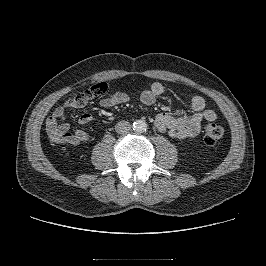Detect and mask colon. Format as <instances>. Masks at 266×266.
Returning <instances> with one entry per match:
<instances>
[{"label": "colon", "instance_id": "obj_1", "mask_svg": "<svg viewBox=\"0 0 266 266\" xmlns=\"http://www.w3.org/2000/svg\"><path fill=\"white\" fill-rule=\"evenodd\" d=\"M108 90V85L106 83H98L90 86L83 91L77 93L80 95H86L90 98L101 96L105 94ZM224 135V129L217 123H207L204 128V143L208 146L216 145L220 142Z\"/></svg>", "mask_w": 266, "mask_h": 266}]
</instances>
